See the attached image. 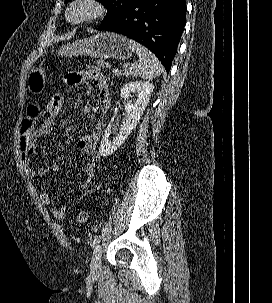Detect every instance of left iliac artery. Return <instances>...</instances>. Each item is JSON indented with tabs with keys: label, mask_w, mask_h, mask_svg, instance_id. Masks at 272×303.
I'll return each mask as SVG.
<instances>
[{
	"label": "left iliac artery",
	"mask_w": 272,
	"mask_h": 303,
	"mask_svg": "<svg viewBox=\"0 0 272 303\" xmlns=\"http://www.w3.org/2000/svg\"><path fill=\"white\" fill-rule=\"evenodd\" d=\"M100 238H101L100 235L94 237V239H93V241H92V243H91L92 248H94V247L99 243Z\"/></svg>",
	"instance_id": "44dca946"
}]
</instances>
